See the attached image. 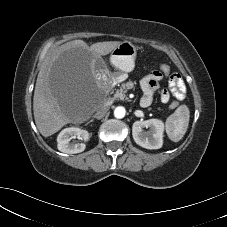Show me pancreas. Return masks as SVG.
Here are the masks:
<instances>
[{"label": "pancreas", "instance_id": "obj_1", "mask_svg": "<svg viewBox=\"0 0 227 227\" xmlns=\"http://www.w3.org/2000/svg\"><path fill=\"white\" fill-rule=\"evenodd\" d=\"M126 92H127L126 84L122 83L120 86V89H118L115 92L112 99L113 100H115V99L126 100L127 99Z\"/></svg>", "mask_w": 227, "mask_h": 227}]
</instances>
